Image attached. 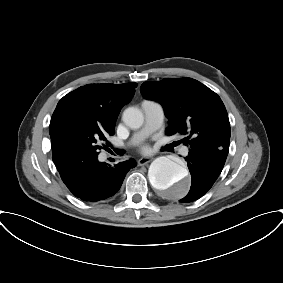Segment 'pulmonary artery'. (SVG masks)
Returning <instances> with one entry per match:
<instances>
[{
    "mask_svg": "<svg viewBox=\"0 0 283 283\" xmlns=\"http://www.w3.org/2000/svg\"><path fill=\"white\" fill-rule=\"evenodd\" d=\"M145 114V122L143 127L133 135L129 144H135L154 131H156L163 123L164 109L163 106L155 101L144 100L141 104ZM188 147L185 146L181 149L183 155L188 154Z\"/></svg>",
    "mask_w": 283,
    "mask_h": 283,
    "instance_id": "e3ab8cb5",
    "label": "pulmonary artery"
}]
</instances>
